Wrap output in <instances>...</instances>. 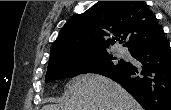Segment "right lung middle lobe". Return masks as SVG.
<instances>
[{
	"mask_svg": "<svg viewBox=\"0 0 171 110\" xmlns=\"http://www.w3.org/2000/svg\"><path fill=\"white\" fill-rule=\"evenodd\" d=\"M129 64L123 59L112 57L108 50L57 56L49 62L45 81L52 82L86 72L104 75Z\"/></svg>",
	"mask_w": 171,
	"mask_h": 110,
	"instance_id": "1",
	"label": "right lung middle lobe"
}]
</instances>
